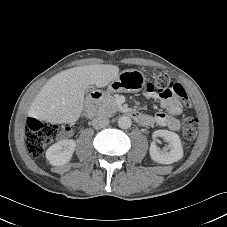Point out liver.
I'll use <instances>...</instances> for the list:
<instances>
[{"label":"liver","mask_w":227,"mask_h":227,"mask_svg":"<svg viewBox=\"0 0 227 227\" xmlns=\"http://www.w3.org/2000/svg\"><path fill=\"white\" fill-rule=\"evenodd\" d=\"M119 74L109 64L79 66L64 70L50 78L33 100L31 116L50 123H72L79 119L84 93L89 86H107Z\"/></svg>","instance_id":"6515ba94"}]
</instances>
